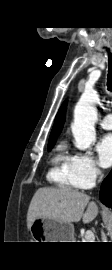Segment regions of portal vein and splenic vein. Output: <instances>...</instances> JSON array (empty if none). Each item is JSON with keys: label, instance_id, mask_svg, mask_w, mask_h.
<instances>
[{"label": "portal vein and splenic vein", "instance_id": "obj_1", "mask_svg": "<svg viewBox=\"0 0 112 270\" xmlns=\"http://www.w3.org/2000/svg\"><path fill=\"white\" fill-rule=\"evenodd\" d=\"M95 236L91 230H87L85 233V242H94Z\"/></svg>", "mask_w": 112, "mask_h": 270}]
</instances>
